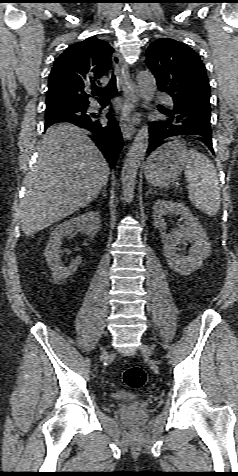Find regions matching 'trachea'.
Returning <instances> with one entry per match:
<instances>
[{
	"mask_svg": "<svg viewBox=\"0 0 238 476\" xmlns=\"http://www.w3.org/2000/svg\"><path fill=\"white\" fill-rule=\"evenodd\" d=\"M95 94L99 97L100 102L110 101L117 94L116 76L113 74L108 86L101 91H96Z\"/></svg>",
	"mask_w": 238,
	"mask_h": 476,
	"instance_id": "3493384b",
	"label": "trachea"
}]
</instances>
